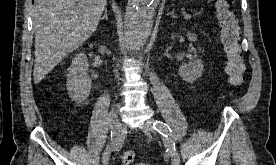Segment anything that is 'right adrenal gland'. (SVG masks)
I'll use <instances>...</instances> for the list:
<instances>
[{"instance_id": "2a0ac1e0", "label": "right adrenal gland", "mask_w": 276, "mask_h": 165, "mask_svg": "<svg viewBox=\"0 0 276 165\" xmlns=\"http://www.w3.org/2000/svg\"><path fill=\"white\" fill-rule=\"evenodd\" d=\"M102 19H106V20H108V16H107V8H105V10H104V15L102 16L101 20H102Z\"/></svg>"}]
</instances>
